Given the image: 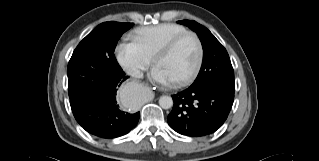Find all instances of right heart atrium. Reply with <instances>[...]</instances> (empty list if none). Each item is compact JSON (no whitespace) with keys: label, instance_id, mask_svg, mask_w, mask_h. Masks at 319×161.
I'll return each instance as SVG.
<instances>
[{"label":"right heart atrium","instance_id":"right-heart-atrium-1","mask_svg":"<svg viewBox=\"0 0 319 161\" xmlns=\"http://www.w3.org/2000/svg\"><path fill=\"white\" fill-rule=\"evenodd\" d=\"M115 52L120 65L135 76H139L151 63L134 42L119 43Z\"/></svg>","mask_w":319,"mask_h":161}]
</instances>
